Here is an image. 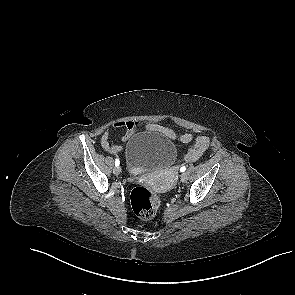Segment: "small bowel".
Here are the masks:
<instances>
[{
  "label": "small bowel",
  "mask_w": 295,
  "mask_h": 295,
  "mask_svg": "<svg viewBox=\"0 0 295 295\" xmlns=\"http://www.w3.org/2000/svg\"><path fill=\"white\" fill-rule=\"evenodd\" d=\"M145 127L148 130L160 132L166 137L178 140L182 143H189L193 140V134L191 132H185L183 134H177L173 129L162 126L156 123H143L136 121H116L114 128L123 131V141L130 139L140 127ZM102 148L110 154H120L123 150L122 146L114 144L110 141V131L105 130L100 138ZM210 139L206 135H199L196 137L194 144L190 147L187 154L184 157L185 162L197 161L208 149Z\"/></svg>",
  "instance_id": "c3829d8e"
}]
</instances>
